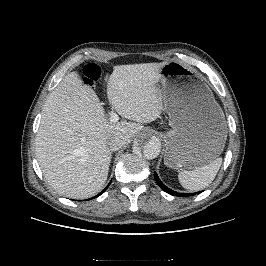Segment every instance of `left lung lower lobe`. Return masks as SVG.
<instances>
[{"label": "left lung lower lobe", "mask_w": 266, "mask_h": 266, "mask_svg": "<svg viewBox=\"0 0 266 266\" xmlns=\"http://www.w3.org/2000/svg\"><path fill=\"white\" fill-rule=\"evenodd\" d=\"M154 178H155V181L156 183L158 184V186L165 192L171 194V195H175V196H179V197H188V196H193L195 195V193H178V192H175L171 189H169L168 187H166L162 182L161 180L159 179L158 175L156 172H154ZM200 193V192H198Z\"/></svg>", "instance_id": "left-lung-lower-lobe-1"}]
</instances>
